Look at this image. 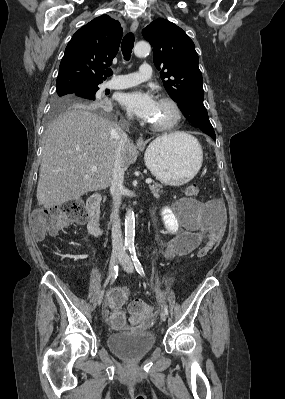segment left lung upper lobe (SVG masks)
<instances>
[{"instance_id": "1", "label": "left lung upper lobe", "mask_w": 285, "mask_h": 399, "mask_svg": "<svg viewBox=\"0 0 285 399\" xmlns=\"http://www.w3.org/2000/svg\"><path fill=\"white\" fill-rule=\"evenodd\" d=\"M144 38L153 47V61L168 94L195 128L214 135L203 104L202 74L193 41L174 23L158 18L143 29Z\"/></svg>"}]
</instances>
